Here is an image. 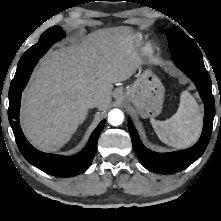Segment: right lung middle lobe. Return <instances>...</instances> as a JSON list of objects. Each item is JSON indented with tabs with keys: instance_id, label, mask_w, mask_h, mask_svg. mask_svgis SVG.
I'll return each mask as SVG.
<instances>
[{
	"instance_id": "dd1d6c3e",
	"label": "right lung middle lobe",
	"mask_w": 221,
	"mask_h": 221,
	"mask_svg": "<svg viewBox=\"0 0 221 221\" xmlns=\"http://www.w3.org/2000/svg\"><path fill=\"white\" fill-rule=\"evenodd\" d=\"M64 36V32L61 27L54 26L46 30L40 37L39 41L30 47L25 53V56H39L44 55L46 51L58 40ZM27 75V66L23 63H18L17 71L14 79L11 82L9 97L14 96L17 93L16 87L22 83Z\"/></svg>"
}]
</instances>
